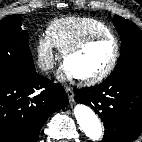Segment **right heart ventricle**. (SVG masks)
I'll return each mask as SVG.
<instances>
[{
	"mask_svg": "<svg viewBox=\"0 0 142 142\" xmlns=\"http://www.w3.org/2000/svg\"><path fill=\"white\" fill-rule=\"evenodd\" d=\"M93 34H112V32L105 23L97 19L75 16L55 20L46 30V36L60 52Z\"/></svg>",
	"mask_w": 142,
	"mask_h": 142,
	"instance_id": "1",
	"label": "right heart ventricle"
}]
</instances>
